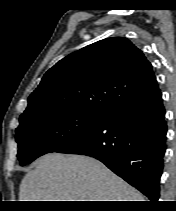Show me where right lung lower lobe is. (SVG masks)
I'll use <instances>...</instances> for the list:
<instances>
[{"instance_id":"right-lung-lower-lobe-1","label":"right lung lower lobe","mask_w":176,"mask_h":211,"mask_svg":"<svg viewBox=\"0 0 176 211\" xmlns=\"http://www.w3.org/2000/svg\"><path fill=\"white\" fill-rule=\"evenodd\" d=\"M166 132L159 90L147 100L108 114L97 127L56 152L94 157L151 201H157Z\"/></svg>"}]
</instances>
